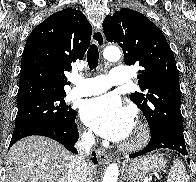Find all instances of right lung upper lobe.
Instances as JSON below:
<instances>
[{
  "instance_id": "obj_1",
  "label": "right lung upper lobe",
  "mask_w": 196,
  "mask_h": 182,
  "mask_svg": "<svg viewBox=\"0 0 196 182\" xmlns=\"http://www.w3.org/2000/svg\"><path fill=\"white\" fill-rule=\"evenodd\" d=\"M92 29L85 15L67 8L56 12L30 33L22 54L18 104L66 95L65 71L81 60Z\"/></svg>"
}]
</instances>
